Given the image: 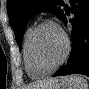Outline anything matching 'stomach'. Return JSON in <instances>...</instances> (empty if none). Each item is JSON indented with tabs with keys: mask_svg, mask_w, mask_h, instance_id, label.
<instances>
[{
	"mask_svg": "<svg viewBox=\"0 0 89 89\" xmlns=\"http://www.w3.org/2000/svg\"><path fill=\"white\" fill-rule=\"evenodd\" d=\"M48 89H74L67 81L66 78L59 79L52 87Z\"/></svg>",
	"mask_w": 89,
	"mask_h": 89,
	"instance_id": "stomach-1",
	"label": "stomach"
}]
</instances>
